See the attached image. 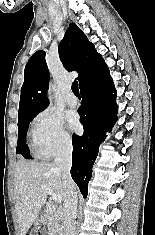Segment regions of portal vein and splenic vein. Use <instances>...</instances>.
<instances>
[{"label":"portal vein and splenic vein","instance_id":"18ae733b","mask_svg":"<svg viewBox=\"0 0 155 235\" xmlns=\"http://www.w3.org/2000/svg\"><path fill=\"white\" fill-rule=\"evenodd\" d=\"M42 189L49 195H51L52 200L56 203L62 202V197L56 193H54L50 188L43 186Z\"/></svg>","mask_w":155,"mask_h":235}]
</instances>
